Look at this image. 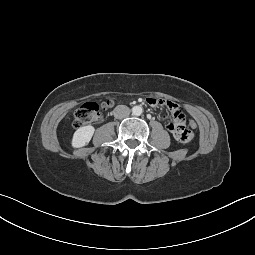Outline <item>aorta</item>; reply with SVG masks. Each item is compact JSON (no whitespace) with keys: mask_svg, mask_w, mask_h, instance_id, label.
Wrapping results in <instances>:
<instances>
[{"mask_svg":"<svg viewBox=\"0 0 255 255\" xmlns=\"http://www.w3.org/2000/svg\"><path fill=\"white\" fill-rule=\"evenodd\" d=\"M143 110L141 106H134L132 108V114L135 116H140L142 114Z\"/></svg>","mask_w":255,"mask_h":255,"instance_id":"1","label":"aorta"}]
</instances>
